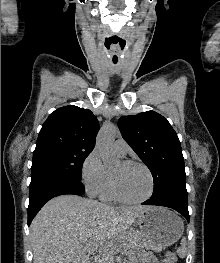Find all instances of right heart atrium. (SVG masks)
Segmentation results:
<instances>
[{
    "instance_id": "right-heart-atrium-1",
    "label": "right heart atrium",
    "mask_w": 220,
    "mask_h": 263,
    "mask_svg": "<svg viewBox=\"0 0 220 263\" xmlns=\"http://www.w3.org/2000/svg\"><path fill=\"white\" fill-rule=\"evenodd\" d=\"M81 181L91 196L100 194L106 184L107 172L96 149H93L82 162Z\"/></svg>"
}]
</instances>
